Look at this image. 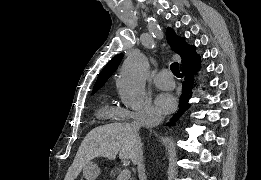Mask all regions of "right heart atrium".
Wrapping results in <instances>:
<instances>
[{
  "label": "right heart atrium",
  "mask_w": 261,
  "mask_h": 180,
  "mask_svg": "<svg viewBox=\"0 0 261 180\" xmlns=\"http://www.w3.org/2000/svg\"><path fill=\"white\" fill-rule=\"evenodd\" d=\"M151 114V109L147 101L146 105H142V112L136 113L135 111L122 110L119 112V120H145ZM160 120V117H157V121ZM120 127H125V125H120ZM133 127H144V125H133Z\"/></svg>",
  "instance_id": "right-heart-atrium-1"
}]
</instances>
